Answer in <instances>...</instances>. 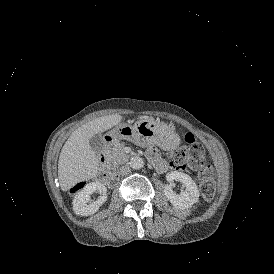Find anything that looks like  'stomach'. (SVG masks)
<instances>
[{
    "instance_id": "1",
    "label": "stomach",
    "mask_w": 274,
    "mask_h": 274,
    "mask_svg": "<svg viewBox=\"0 0 274 274\" xmlns=\"http://www.w3.org/2000/svg\"><path fill=\"white\" fill-rule=\"evenodd\" d=\"M107 135L111 137L113 143L124 139L142 147L155 144L168 151L175 150L180 144L173 127L152 118L139 119L133 125L119 124Z\"/></svg>"
}]
</instances>
